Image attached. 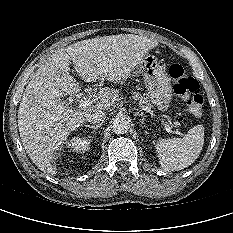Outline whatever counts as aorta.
Listing matches in <instances>:
<instances>
[{
    "mask_svg": "<svg viewBox=\"0 0 233 233\" xmlns=\"http://www.w3.org/2000/svg\"><path fill=\"white\" fill-rule=\"evenodd\" d=\"M130 128V123L125 117H116L112 121V129L116 134H125Z\"/></svg>",
    "mask_w": 233,
    "mask_h": 233,
    "instance_id": "1",
    "label": "aorta"
}]
</instances>
